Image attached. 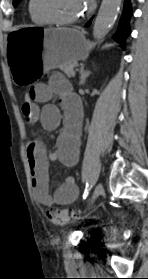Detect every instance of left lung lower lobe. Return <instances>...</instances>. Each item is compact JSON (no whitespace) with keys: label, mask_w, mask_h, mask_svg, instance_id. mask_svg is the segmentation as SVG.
<instances>
[{"label":"left lung lower lobe","mask_w":148,"mask_h":279,"mask_svg":"<svg viewBox=\"0 0 148 279\" xmlns=\"http://www.w3.org/2000/svg\"><path fill=\"white\" fill-rule=\"evenodd\" d=\"M132 13V9L130 6V0H125L123 13L119 22V27L115 35L113 36L114 39H116L118 42L124 45L125 39L130 33L129 28V19ZM90 24V22L87 24V26Z\"/></svg>","instance_id":"obj_1"}]
</instances>
